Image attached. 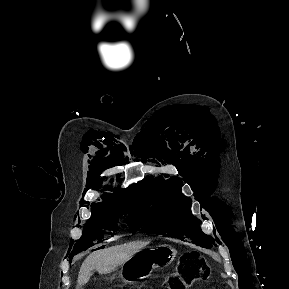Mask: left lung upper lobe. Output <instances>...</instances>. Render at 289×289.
Masks as SVG:
<instances>
[{
	"label": "left lung upper lobe",
	"instance_id": "5c2ea615",
	"mask_svg": "<svg viewBox=\"0 0 289 289\" xmlns=\"http://www.w3.org/2000/svg\"><path fill=\"white\" fill-rule=\"evenodd\" d=\"M181 184L175 177L168 180L158 177L147 180L145 188H137L143 231L190 240L193 244L209 248L214 239L202 232L201 221L191 214L192 200L181 193Z\"/></svg>",
	"mask_w": 289,
	"mask_h": 289
}]
</instances>
